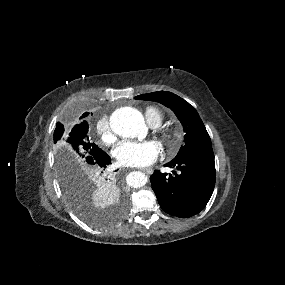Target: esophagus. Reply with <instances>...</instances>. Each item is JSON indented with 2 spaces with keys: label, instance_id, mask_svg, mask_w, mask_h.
I'll use <instances>...</instances> for the list:
<instances>
[{
  "label": "esophagus",
  "instance_id": "esophagus-1",
  "mask_svg": "<svg viewBox=\"0 0 285 285\" xmlns=\"http://www.w3.org/2000/svg\"><path fill=\"white\" fill-rule=\"evenodd\" d=\"M143 172H145L146 174H152L153 173V169L152 168H145V169H142Z\"/></svg>",
  "mask_w": 285,
  "mask_h": 285
}]
</instances>
